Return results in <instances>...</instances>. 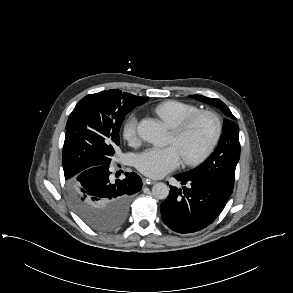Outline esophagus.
Wrapping results in <instances>:
<instances>
[{
    "mask_svg": "<svg viewBox=\"0 0 293 293\" xmlns=\"http://www.w3.org/2000/svg\"><path fill=\"white\" fill-rule=\"evenodd\" d=\"M143 183H144V185H147V184L156 183V181L151 178H144Z\"/></svg>",
    "mask_w": 293,
    "mask_h": 293,
    "instance_id": "obj_1",
    "label": "esophagus"
}]
</instances>
